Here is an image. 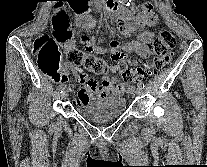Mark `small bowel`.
<instances>
[{"label": "small bowel", "instance_id": "c3829d8e", "mask_svg": "<svg viewBox=\"0 0 207 167\" xmlns=\"http://www.w3.org/2000/svg\"><path fill=\"white\" fill-rule=\"evenodd\" d=\"M86 1H70L69 9H72V13H85L86 9H89V5H85ZM157 21L156 15L152 10V6L145 5L141 13L135 18L133 17H121L118 21V26L123 34H130L138 26L153 25ZM83 27L88 26L86 19L81 20ZM108 38L104 32H97L94 36H88L82 34L80 43L87 46L88 49L93 50L98 54H110L115 60L116 64L110 66L112 72H117L122 69L124 63H128L126 59V53L136 51L140 58H149L152 52L149 48V44L155 38V32L144 31L141 32L135 40H130L120 45L116 41H111L108 46L102 44V40ZM138 61H134L133 64H137ZM74 69L65 64L61 69V76L59 81L65 85L67 83L70 73ZM78 80L81 83V88L78 91L75 103L77 105L85 104L93 97H104L108 95L122 96L131 93L133 86L125 85L119 82L113 77H104L98 83L89 78V75L85 72L78 74Z\"/></svg>", "mask_w": 207, "mask_h": 167}]
</instances>
